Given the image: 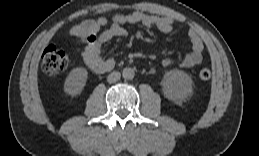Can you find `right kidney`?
Instances as JSON below:
<instances>
[{
  "label": "right kidney",
  "mask_w": 259,
  "mask_h": 156,
  "mask_svg": "<svg viewBox=\"0 0 259 156\" xmlns=\"http://www.w3.org/2000/svg\"><path fill=\"white\" fill-rule=\"evenodd\" d=\"M87 76L85 68H74L65 79L64 91L71 96L79 95L86 85Z\"/></svg>",
  "instance_id": "1"
}]
</instances>
